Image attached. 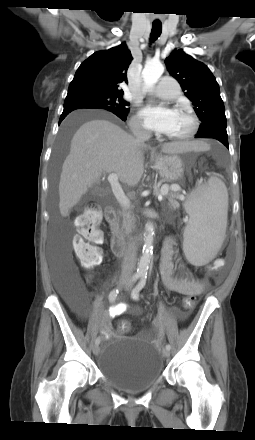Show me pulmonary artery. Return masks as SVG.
<instances>
[{
    "instance_id": "e3ab8cb5",
    "label": "pulmonary artery",
    "mask_w": 255,
    "mask_h": 440,
    "mask_svg": "<svg viewBox=\"0 0 255 440\" xmlns=\"http://www.w3.org/2000/svg\"><path fill=\"white\" fill-rule=\"evenodd\" d=\"M154 94L162 99H175L180 94V87L174 78L165 76L155 87Z\"/></svg>"
}]
</instances>
